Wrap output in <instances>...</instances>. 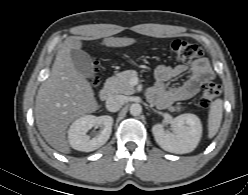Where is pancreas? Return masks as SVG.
I'll return each mask as SVG.
<instances>
[{
  "mask_svg": "<svg viewBox=\"0 0 248 195\" xmlns=\"http://www.w3.org/2000/svg\"><path fill=\"white\" fill-rule=\"evenodd\" d=\"M137 76L135 70H127L110 77L107 80L106 87L113 93H120L130 95L135 92L133 85H131V79ZM180 110V107L171 108V111Z\"/></svg>",
  "mask_w": 248,
  "mask_h": 195,
  "instance_id": "pancreas-1",
  "label": "pancreas"
}]
</instances>
